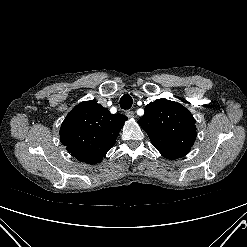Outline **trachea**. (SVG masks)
<instances>
[{
  "mask_svg": "<svg viewBox=\"0 0 247 247\" xmlns=\"http://www.w3.org/2000/svg\"><path fill=\"white\" fill-rule=\"evenodd\" d=\"M133 104L132 97L128 94H125L120 99V107L124 110H128L131 108Z\"/></svg>",
  "mask_w": 247,
  "mask_h": 247,
  "instance_id": "1",
  "label": "trachea"
}]
</instances>
